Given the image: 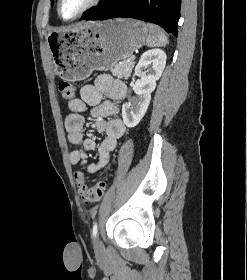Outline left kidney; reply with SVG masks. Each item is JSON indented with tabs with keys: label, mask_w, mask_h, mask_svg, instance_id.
I'll list each match as a JSON object with an SVG mask.
<instances>
[{
	"label": "left kidney",
	"mask_w": 247,
	"mask_h": 280,
	"mask_svg": "<svg viewBox=\"0 0 247 280\" xmlns=\"http://www.w3.org/2000/svg\"><path fill=\"white\" fill-rule=\"evenodd\" d=\"M166 58V53L161 49H150L142 54L133 75V78L140 77V80L132 85L136 97L131 105L125 103L122 106V118L127 127H135L145 115L156 81L165 68ZM145 69L146 71H143Z\"/></svg>",
	"instance_id": "1"
}]
</instances>
